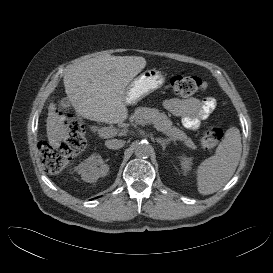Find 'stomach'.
Wrapping results in <instances>:
<instances>
[{"label":"stomach","mask_w":273,"mask_h":273,"mask_svg":"<svg viewBox=\"0 0 273 273\" xmlns=\"http://www.w3.org/2000/svg\"><path fill=\"white\" fill-rule=\"evenodd\" d=\"M165 77L157 69H148L132 80L125 89V104L134 105L145 96L159 89Z\"/></svg>","instance_id":"stomach-1"}]
</instances>
